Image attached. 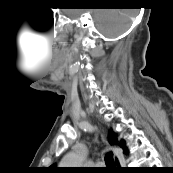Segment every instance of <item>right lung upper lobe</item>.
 I'll list each match as a JSON object with an SVG mask.
<instances>
[{"mask_svg":"<svg viewBox=\"0 0 173 173\" xmlns=\"http://www.w3.org/2000/svg\"><path fill=\"white\" fill-rule=\"evenodd\" d=\"M108 138H109V143L111 145H118V139H117L116 133H114L113 131H110ZM124 145H125V142L121 141V146L123 147ZM124 152L126 153L127 150L124 149ZM51 169L53 170L55 169V167H51Z\"/></svg>","mask_w":173,"mask_h":173,"instance_id":"1","label":"right lung upper lobe"}]
</instances>
